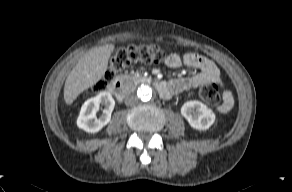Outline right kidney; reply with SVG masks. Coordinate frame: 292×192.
<instances>
[{"mask_svg":"<svg viewBox=\"0 0 292 192\" xmlns=\"http://www.w3.org/2000/svg\"><path fill=\"white\" fill-rule=\"evenodd\" d=\"M100 104H103L105 108L102 115L97 118L96 113ZM114 106L115 101L112 95L107 91L100 92L84 102L77 119V126L88 133L98 132L110 122Z\"/></svg>","mask_w":292,"mask_h":192,"instance_id":"1","label":"right kidney"}]
</instances>
